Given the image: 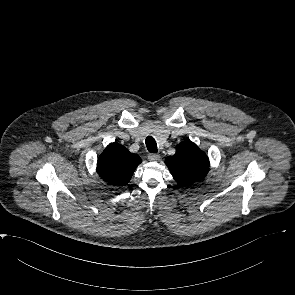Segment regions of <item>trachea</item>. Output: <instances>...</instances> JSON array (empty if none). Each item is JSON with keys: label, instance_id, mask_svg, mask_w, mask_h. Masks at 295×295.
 <instances>
[{"label": "trachea", "instance_id": "trachea-1", "mask_svg": "<svg viewBox=\"0 0 295 295\" xmlns=\"http://www.w3.org/2000/svg\"><path fill=\"white\" fill-rule=\"evenodd\" d=\"M145 143L149 152L156 153L158 151L156 141L153 137L148 136L145 140Z\"/></svg>", "mask_w": 295, "mask_h": 295}]
</instances>
